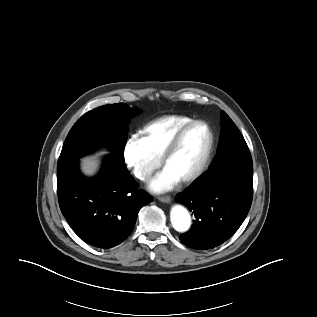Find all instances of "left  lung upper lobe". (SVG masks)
<instances>
[{"label": "left lung upper lobe", "instance_id": "5c2ea615", "mask_svg": "<svg viewBox=\"0 0 317 317\" xmlns=\"http://www.w3.org/2000/svg\"><path fill=\"white\" fill-rule=\"evenodd\" d=\"M221 132L217 147V155L210 166L209 172L217 174L231 164L253 166L248 146L230 117L221 112Z\"/></svg>", "mask_w": 317, "mask_h": 317}]
</instances>
